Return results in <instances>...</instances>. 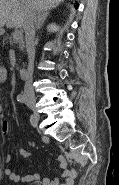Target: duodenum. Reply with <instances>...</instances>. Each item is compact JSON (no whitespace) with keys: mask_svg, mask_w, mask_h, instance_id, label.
I'll return each mask as SVG.
<instances>
[{"mask_svg":"<svg viewBox=\"0 0 119 185\" xmlns=\"http://www.w3.org/2000/svg\"><path fill=\"white\" fill-rule=\"evenodd\" d=\"M19 74L22 79H27L29 77V71L27 68L24 67L19 69Z\"/></svg>","mask_w":119,"mask_h":185,"instance_id":"obj_1","label":"duodenum"}]
</instances>
